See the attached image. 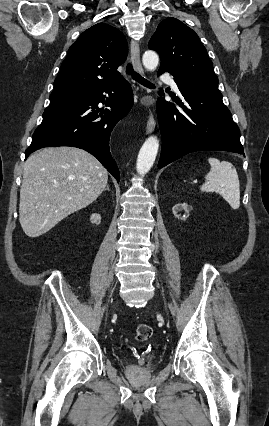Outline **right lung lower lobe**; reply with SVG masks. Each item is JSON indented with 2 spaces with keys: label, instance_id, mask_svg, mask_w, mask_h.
<instances>
[{
  "label": "right lung lower lobe",
  "instance_id": "1",
  "mask_svg": "<svg viewBox=\"0 0 269 426\" xmlns=\"http://www.w3.org/2000/svg\"><path fill=\"white\" fill-rule=\"evenodd\" d=\"M104 92L112 98L107 103L111 110L100 111L98 104L105 103ZM132 105V90L124 79L111 86L83 92L76 103L43 114V121L25 151V159L43 147H77L94 155L119 182V169L110 153L109 138L114 126L128 114Z\"/></svg>",
  "mask_w": 269,
  "mask_h": 426
}]
</instances>
